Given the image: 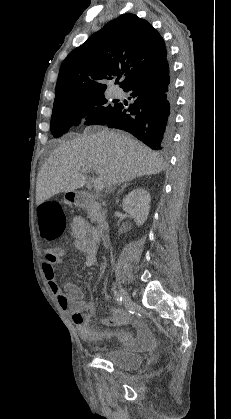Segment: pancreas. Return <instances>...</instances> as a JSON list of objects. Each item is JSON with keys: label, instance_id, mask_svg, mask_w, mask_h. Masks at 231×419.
<instances>
[{"label": "pancreas", "instance_id": "1", "mask_svg": "<svg viewBox=\"0 0 231 419\" xmlns=\"http://www.w3.org/2000/svg\"><path fill=\"white\" fill-rule=\"evenodd\" d=\"M88 216L91 220V222H96L99 217L101 216V207L96 204V203H92L88 206Z\"/></svg>", "mask_w": 231, "mask_h": 419}]
</instances>
